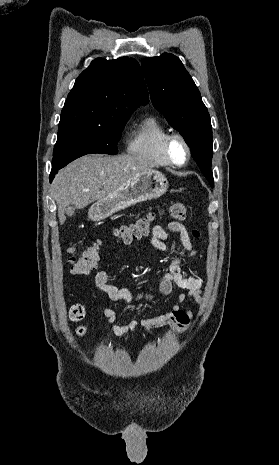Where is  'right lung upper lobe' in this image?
Instances as JSON below:
<instances>
[{"label": "right lung upper lobe", "mask_w": 279, "mask_h": 465, "mask_svg": "<svg viewBox=\"0 0 279 465\" xmlns=\"http://www.w3.org/2000/svg\"><path fill=\"white\" fill-rule=\"evenodd\" d=\"M148 100L140 66L134 59L98 58L76 79L62 109L59 127L100 124L113 112H133Z\"/></svg>", "instance_id": "cb5924a9"}]
</instances>
